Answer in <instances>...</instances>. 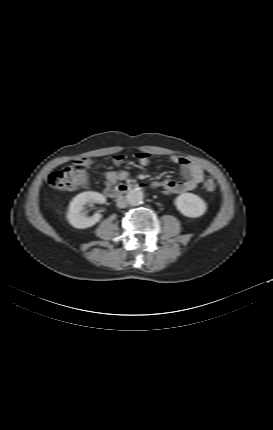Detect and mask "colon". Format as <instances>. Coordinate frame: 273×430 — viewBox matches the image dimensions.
I'll return each mask as SVG.
<instances>
[{
    "mask_svg": "<svg viewBox=\"0 0 273 430\" xmlns=\"http://www.w3.org/2000/svg\"><path fill=\"white\" fill-rule=\"evenodd\" d=\"M80 159H77L70 166L51 173L48 178L50 187L58 191H72L85 186L88 182V166H82L80 164ZM203 187L205 191L213 192L216 189V183L212 178L208 177Z\"/></svg>",
    "mask_w": 273,
    "mask_h": 430,
    "instance_id": "5ec220e1",
    "label": "colon"
}]
</instances>
